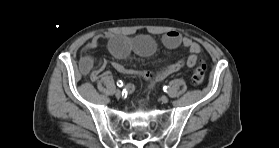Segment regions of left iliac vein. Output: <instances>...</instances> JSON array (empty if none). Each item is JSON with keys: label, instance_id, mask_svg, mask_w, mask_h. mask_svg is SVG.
Segmentation results:
<instances>
[{"label": "left iliac vein", "instance_id": "obj_1", "mask_svg": "<svg viewBox=\"0 0 279 148\" xmlns=\"http://www.w3.org/2000/svg\"><path fill=\"white\" fill-rule=\"evenodd\" d=\"M161 101L163 102V103H167L168 101H169V99H168V97L167 96H161Z\"/></svg>", "mask_w": 279, "mask_h": 148}]
</instances>
